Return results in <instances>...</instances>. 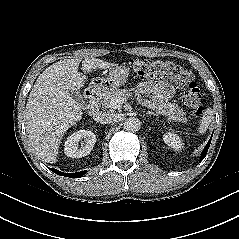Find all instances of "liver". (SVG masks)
I'll list each match as a JSON object with an SVG mask.
<instances>
[{
  "mask_svg": "<svg viewBox=\"0 0 239 239\" xmlns=\"http://www.w3.org/2000/svg\"><path fill=\"white\" fill-rule=\"evenodd\" d=\"M81 60H60L45 69L37 78L26 104V131L38 156L47 163L57 161L58 148L64 133L82 118L81 105L71 92L79 91L87 80L78 72ZM115 64L87 58L82 61L84 73L105 69Z\"/></svg>",
  "mask_w": 239,
  "mask_h": 239,
  "instance_id": "liver-1",
  "label": "liver"
}]
</instances>
